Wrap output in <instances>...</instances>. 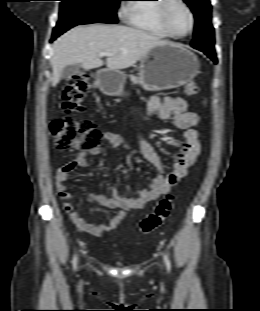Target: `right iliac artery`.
I'll use <instances>...</instances> for the list:
<instances>
[{
	"label": "right iliac artery",
	"mask_w": 260,
	"mask_h": 311,
	"mask_svg": "<svg viewBox=\"0 0 260 311\" xmlns=\"http://www.w3.org/2000/svg\"><path fill=\"white\" fill-rule=\"evenodd\" d=\"M77 260H78V257H77V255H75V257H74V259H73V267H74V269H75L76 266H77Z\"/></svg>",
	"instance_id": "1"
}]
</instances>
